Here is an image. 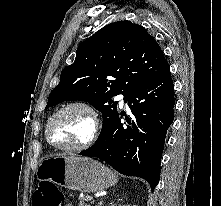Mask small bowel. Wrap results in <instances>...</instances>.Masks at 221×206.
I'll return each instance as SVG.
<instances>
[{"label": "small bowel", "mask_w": 221, "mask_h": 206, "mask_svg": "<svg viewBox=\"0 0 221 206\" xmlns=\"http://www.w3.org/2000/svg\"><path fill=\"white\" fill-rule=\"evenodd\" d=\"M65 206H72V205L68 203V204H66Z\"/></svg>", "instance_id": "1"}]
</instances>
